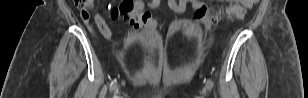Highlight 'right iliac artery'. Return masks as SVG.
<instances>
[{
    "label": "right iliac artery",
    "instance_id": "1",
    "mask_svg": "<svg viewBox=\"0 0 308 98\" xmlns=\"http://www.w3.org/2000/svg\"><path fill=\"white\" fill-rule=\"evenodd\" d=\"M117 84V81L116 80H113L110 84V91L116 86Z\"/></svg>",
    "mask_w": 308,
    "mask_h": 98
}]
</instances>
